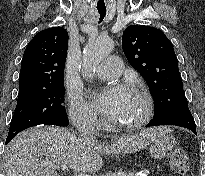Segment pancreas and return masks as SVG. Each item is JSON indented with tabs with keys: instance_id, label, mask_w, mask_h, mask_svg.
Masks as SVG:
<instances>
[{
	"instance_id": "1",
	"label": "pancreas",
	"mask_w": 205,
	"mask_h": 176,
	"mask_svg": "<svg viewBox=\"0 0 205 176\" xmlns=\"http://www.w3.org/2000/svg\"><path fill=\"white\" fill-rule=\"evenodd\" d=\"M127 176H135L134 174H128Z\"/></svg>"
}]
</instances>
